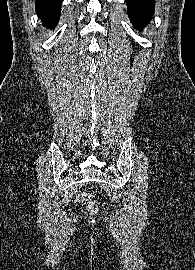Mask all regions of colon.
<instances>
[{
    "label": "colon",
    "instance_id": "1",
    "mask_svg": "<svg viewBox=\"0 0 195 270\" xmlns=\"http://www.w3.org/2000/svg\"><path fill=\"white\" fill-rule=\"evenodd\" d=\"M79 203H83L86 205L87 210L90 213H97L99 210L98 204L96 201L92 200L87 194H80L77 198Z\"/></svg>",
    "mask_w": 195,
    "mask_h": 270
}]
</instances>
